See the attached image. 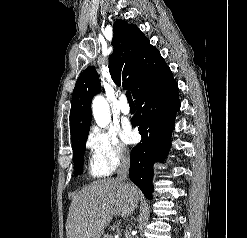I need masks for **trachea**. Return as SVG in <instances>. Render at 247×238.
Here are the masks:
<instances>
[{"label":"trachea","instance_id":"1","mask_svg":"<svg viewBox=\"0 0 247 238\" xmlns=\"http://www.w3.org/2000/svg\"><path fill=\"white\" fill-rule=\"evenodd\" d=\"M126 97L129 103H134L130 91L126 92Z\"/></svg>","mask_w":247,"mask_h":238}]
</instances>
